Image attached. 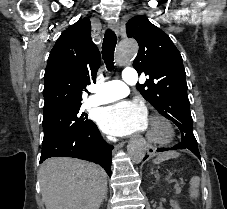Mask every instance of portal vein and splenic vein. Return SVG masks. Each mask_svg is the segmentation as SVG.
<instances>
[{
    "label": "portal vein and splenic vein",
    "mask_w": 227,
    "mask_h": 209,
    "mask_svg": "<svg viewBox=\"0 0 227 209\" xmlns=\"http://www.w3.org/2000/svg\"><path fill=\"white\" fill-rule=\"evenodd\" d=\"M177 186L175 185L174 187H173V191L174 192H176L178 195H181L182 194V189H181V185L183 184L182 182H180V181H178L177 183Z\"/></svg>",
    "instance_id": "portal-vein-and-splenic-vein-1"
}]
</instances>
